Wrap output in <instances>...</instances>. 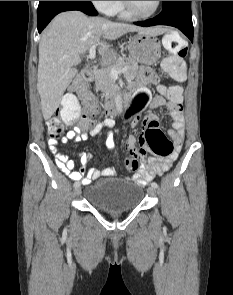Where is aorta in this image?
Here are the masks:
<instances>
[{
	"label": "aorta",
	"instance_id": "obj_1",
	"mask_svg": "<svg viewBox=\"0 0 233 295\" xmlns=\"http://www.w3.org/2000/svg\"><path fill=\"white\" fill-rule=\"evenodd\" d=\"M115 106L119 112H122L123 101H122V97L120 95H117V97L115 98Z\"/></svg>",
	"mask_w": 233,
	"mask_h": 295
}]
</instances>
